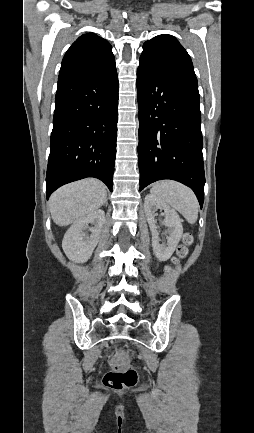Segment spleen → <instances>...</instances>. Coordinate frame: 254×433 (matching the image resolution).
Listing matches in <instances>:
<instances>
[{
  "label": "spleen",
  "mask_w": 254,
  "mask_h": 433,
  "mask_svg": "<svg viewBox=\"0 0 254 433\" xmlns=\"http://www.w3.org/2000/svg\"><path fill=\"white\" fill-rule=\"evenodd\" d=\"M150 192L179 211L190 224L197 221L199 204L188 187L176 181L164 180L157 182Z\"/></svg>",
  "instance_id": "obj_1"
}]
</instances>
